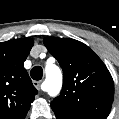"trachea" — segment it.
Instances as JSON below:
<instances>
[{
	"label": "trachea",
	"mask_w": 119,
	"mask_h": 119,
	"mask_svg": "<svg viewBox=\"0 0 119 119\" xmlns=\"http://www.w3.org/2000/svg\"><path fill=\"white\" fill-rule=\"evenodd\" d=\"M30 75L32 77V79L38 81L42 79L43 76V69L40 66H35L31 69L30 71Z\"/></svg>",
	"instance_id": "3493384b"
}]
</instances>
